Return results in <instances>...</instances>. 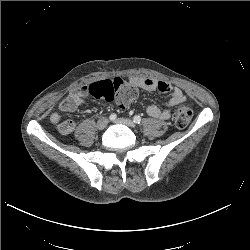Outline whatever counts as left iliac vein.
<instances>
[{
  "mask_svg": "<svg viewBox=\"0 0 250 250\" xmlns=\"http://www.w3.org/2000/svg\"><path fill=\"white\" fill-rule=\"evenodd\" d=\"M115 123H119V124H123V125H126L132 129H135L136 128V125L135 123L130 120V119H126V118H118L116 120H114Z\"/></svg>",
  "mask_w": 250,
  "mask_h": 250,
  "instance_id": "4c4485c4",
  "label": "left iliac vein"
}]
</instances>
